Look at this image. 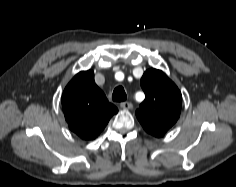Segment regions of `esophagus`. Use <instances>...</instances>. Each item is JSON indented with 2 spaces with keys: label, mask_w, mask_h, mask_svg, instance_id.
I'll list each match as a JSON object with an SVG mask.
<instances>
[{
  "label": "esophagus",
  "mask_w": 236,
  "mask_h": 187,
  "mask_svg": "<svg viewBox=\"0 0 236 187\" xmlns=\"http://www.w3.org/2000/svg\"><path fill=\"white\" fill-rule=\"evenodd\" d=\"M120 106L124 110H130L133 107V105L130 102H122Z\"/></svg>",
  "instance_id": "obj_1"
}]
</instances>
